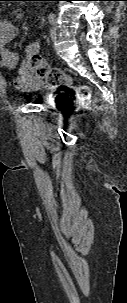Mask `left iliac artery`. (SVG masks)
<instances>
[{
    "label": "left iliac artery",
    "mask_w": 127,
    "mask_h": 303,
    "mask_svg": "<svg viewBox=\"0 0 127 303\" xmlns=\"http://www.w3.org/2000/svg\"><path fill=\"white\" fill-rule=\"evenodd\" d=\"M48 21L50 24H53L56 21V15L54 13H49L48 15Z\"/></svg>",
    "instance_id": "obj_1"
}]
</instances>
